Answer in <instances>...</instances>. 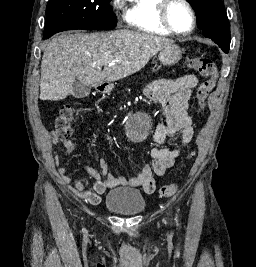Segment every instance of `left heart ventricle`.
<instances>
[{"label": "left heart ventricle", "mask_w": 256, "mask_h": 267, "mask_svg": "<svg viewBox=\"0 0 256 267\" xmlns=\"http://www.w3.org/2000/svg\"><path fill=\"white\" fill-rule=\"evenodd\" d=\"M168 17L172 26L178 32H187L191 29L192 19L188 9L181 3L172 2L168 10Z\"/></svg>", "instance_id": "left-heart-ventricle-1"}]
</instances>
